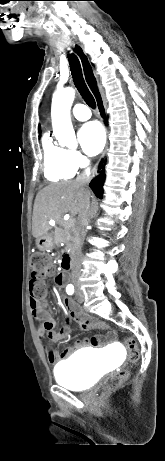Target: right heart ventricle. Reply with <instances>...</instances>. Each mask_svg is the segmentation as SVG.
<instances>
[{
  "label": "right heart ventricle",
  "mask_w": 165,
  "mask_h": 461,
  "mask_svg": "<svg viewBox=\"0 0 165 461\" xmlns=\"http://www.w3.org/2000/svg\"><path fill=\"white\" fill-rule=\"evenodd\" d=\"M44 175L49 181H62L71 179L76 168L68 159V150L55 144L46 134L42 140Z\"/></svg>",
  "instance_id": "e07e8e85"
}]
</instances>
